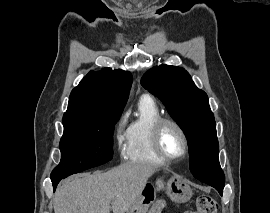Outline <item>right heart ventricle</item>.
Instances as JSON below:
<instances>
[{
    "instance_id": "obj_1",
    "label": "right heart ventricle",
    "mask_w": 270,
    "mask_h": 213,
    "mask_svg": "<svg viewBox=\"0 0 270 213\" xmlns=\"http://www.w3.org/2000/svg\"><path fill=\"white\" fill-rule=\"evenodd\" d=\"M162 114L148 96L140 98L134 118L129 122L125 132L124 158L132 163L164 162L153 150L151 132L155 122Z\"/></svg>"
}]
</instances>
